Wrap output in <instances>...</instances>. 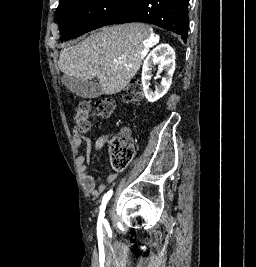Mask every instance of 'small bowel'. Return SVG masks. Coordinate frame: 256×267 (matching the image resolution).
<instances>
[{"instance_id":"c3829d8e","label":"small bowel","mask_w":256,"mask_h":267,"mask_svg":"<svg viewBox=\"0 0 256 267\" xmlns=\"http://www.w3.org/2000/svg\"><path fill=\"white\" fill-rule=\"evenodd\" d=\"M73 138L74 143L78 148L83 145H85L86 147L85 151L79 154L77 157V167L82 185L88 194L94 197H98L115 180L116 173H111L104 182L96 186L94 179L88 173V167L91 163L92 149L95 148L96 150H100L108 141L109 136L103 135L99 137L95 142H92L90 138L84 137L77 129H74ZM111 140H114V137H111Z\"/></svg>"}]
</instances>
